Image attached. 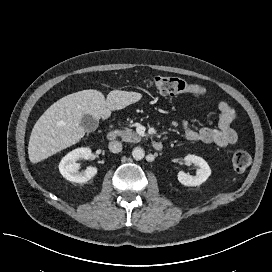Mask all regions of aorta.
Segmentation results:
<instances>
[{
    "label": "aorta",
    "instance_id": "obj_1",
    "mask_svg": "<svg viewBox=\"0 0 272 272\" xmlns=\"http://www.w3.org/2000/svg\"><path fill=\"white\" fill-rule=\"evenodd\" d=\"M132 156L135 160H142L145 156V152L141 147H135L132 151Z\"/></svg>",
    "mask_w": 272,
    "mask_h": 272
}]
</instances>
